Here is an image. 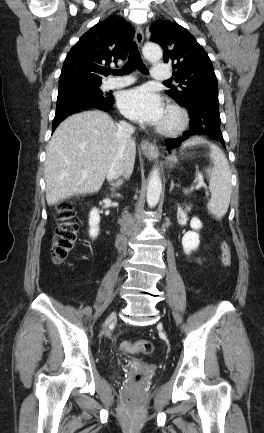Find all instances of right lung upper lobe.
Segmentation results:
<instances>
[{"label": "right lung upper lobe", "mask_w": 264, "mask_h": 433, "mask_svg": "<svg viewBox=\"0 0 264 433\" xmlns=\"http://www.w3.org/2000/svg\"><path fill=\"white\" fill-rule=\"evenodd\" d=\"M134 30L124 19L110 16L94 25L72 47L64 61L59 89L101 84L111 61L124 58Z\"/></svg>", "instance_id": "cb5924a9"}]
</instances>
